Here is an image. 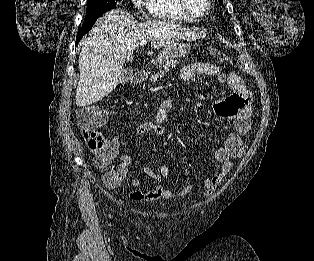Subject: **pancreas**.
I'll use <instances>...</instances> for the list:
<instances>
[{"label": "pancreas", "mask_w": 314, "mask_h": 261, "mask_svg": "<svg viewBox=\"0 0 314 261\" xmlns=\"http://www.w3.org/2000/svg\"><path fill=\"white\" fill-rule=\"evenodd\" d=\"M177 61L174 59H167L163 65H162V70H160L158 73H156L155 75H153L150 79L151 82H156L157 79L160 77L162 78L171 67H175L176 66Z\"/></svg>", "instance_id": "cf45deb5"}]
</instances>
